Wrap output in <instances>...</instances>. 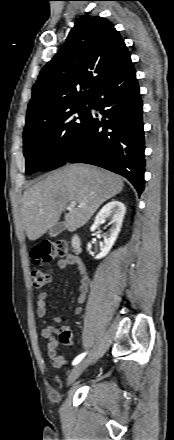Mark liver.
Returning a JSON list of instances; mask_svg holds the SVG:
<instances>
[{
	"instance_id": "liver-1",
	"label": "liver",
	"mask_w": 174,
	"mask_h": 440,
	"mask_svg": "<svg viewBox=\"0 0 174 440\" xmlns=\"http://www.w3.org/2000/svg\"><path fill=\"white\" fill-rule=\"evenodd\" d=\"M123 186L120 176L91 165H66L55 170L23 193L21 223L28 239L37 240L58 223L71 201L78 205L65 213L64 226L76 231Z\"/></svg>"
}]
</instances>
